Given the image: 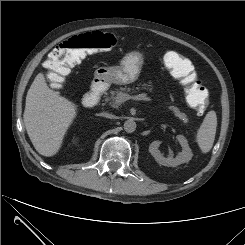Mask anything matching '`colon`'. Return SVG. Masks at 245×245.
<instances>
[{"label": "colon", "instance_id": "obj_1", "mask_svg": "<svg viewBox=\"0 0 245 245\" xmlns=\"http://www.w3.org/2000/svg\"><path fill=\"white\" fill-rule=\"evenodd\" d=\"M117 44L116 37L107 32L93 31L69 38L53 49L45 66L47 76L55 86H59L69 74L71 67L82 59L99 51H107ZM172 74L186 85L185 94L188 104L199 114L208 110L209 93L207 88L187 73L184 57L172 52L165 58Z\"/></svg>", "mask_w": 245, "mask_h": 245}]
</instances>
